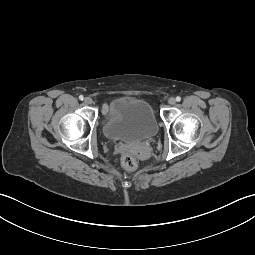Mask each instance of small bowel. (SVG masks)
I'll return each mask as SVG.
<instances>
[{"label":"small bowel","instance_id":"obj_1","mask_svg":"<svg viewBox=\"0 0 255 255\" xmlns=\"http://www.w3.org/2000/svg\"><path fill=\"white\" fill-rule=\"evenodd\" d=\"M108 111L107 105L104 106L103 112L106 113Z\"/></svg>","mask_w":255,"mask_h":255}]
</instances>
